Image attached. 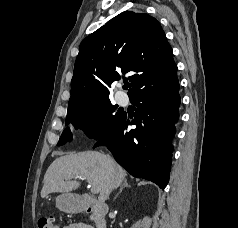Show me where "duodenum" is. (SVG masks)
Wrapping results in <instances>:
<instances>
[{"mask_svg":"<svg viewBox=\"0 0 238 228\" xmlns=\"http://www.w3.org/2000/svg\"><path fill=\"white\" fill-rule=\"evenodd\" d=\"M75 208L91 214L96 228H106L105 216L108 212L107 205L85 195H80L75 201Z\"/></svg>","mask_w":238,"mask_h":228,"instance_id":"410a0bca","label":"duodenum"}]
</instances>
